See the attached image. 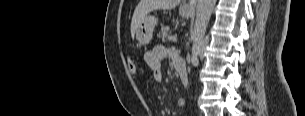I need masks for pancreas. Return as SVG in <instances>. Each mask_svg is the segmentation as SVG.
<instances>
[{
  "label": "pancreas",
  "mask_w": 305,
  "mask_h": 116,
  "mask_svg": "<svg viewBox=\"0 0 305 116\" xmlns=\"http://www.w3.org/2000/svg\"><path fill=\"white\" fill-rule=\"evenodd\" d=\"M170 35H171V31L169 26H162L158 37L162 38L163 41H166L169 40Z\"/></svg>",
  "instance_id": "pancreas-1"
}]
</instances>
